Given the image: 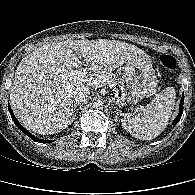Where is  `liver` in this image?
<instances>
[{
	"label": "liver",
	"mask_w": 195,
	"mask_h": 195,
	"mask_svg": "<svg viewBox=\"0 0 195 195\" xmlns=\"http://www.w3.org/2000/svg\"><path fill=\"white\" fill-rule=\"evenodd\" d=\"M76 54L98 75L145 55L135 45L107 39L66 40L35 49L19 63L10 89L11 105L24 127L44 135L58 133L71 124L72 92L86 84L62 75L81 67Z\"/></svg>",
	"instance_id": "1"
}]
</instances>
